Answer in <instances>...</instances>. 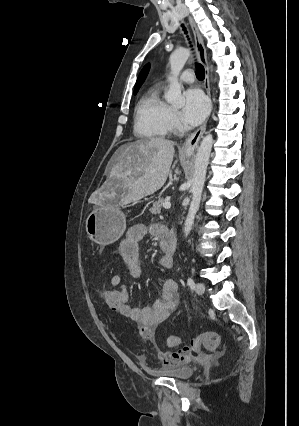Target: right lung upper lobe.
<instances>
[{"mask_svg": "<svg viewBox=\"0 0 299 426\" xmlns=\"http://www.w3.org/2000/svg\"><path fill=\"white\" fill-rule=\"evenodd\" d=\"M148 71H149V64H147L142 70H141V72H140V74H139V76H138V79H137V81H136V84H135V89H134V92L135 91H138V89L140 88V86L142 85V83H143V81L145 80V78H146V76H147V74H148Z\"/></svg>", "mask_w": 299, "mask_h": 426, "instance_id": "cb5924a9", "label": "right lung upper lobe"}]
</instances>
